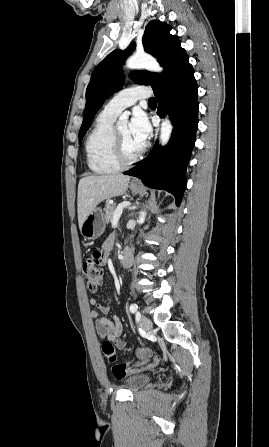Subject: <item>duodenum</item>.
Returning a JSON list of instances; mask_svg holds the SVG:
<instances>
[{"instance_id": "1", "label": "duodenum", "mask_w": 269, "mask_h": 447, "mask_svg": "<svg viewBox=\"0 0 269 447\" xmlns=\"http://www.w3.org/2000/svg\"><path fill=\"white\" fill-rule=\"evenodd\" d=\"M133 262V257L132 254L129 250H125L122 254V258H121V267L124 270H127L128 268H130V266L132 265Z\"/></svg>"}]
</instances>
